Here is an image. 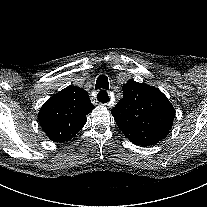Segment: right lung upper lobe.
<instances>
[{
    "mask_svg": "<svg viewBox=\"0 0 207 207\" xmlns=\"http://www.w3.org/2000/svg\"><path fill=\"white\" fill-rule=\"evenodd\" d=\"M93 108L85 90L75 86L66 87L45 102L38 120L51 140L67 142L83 128L86 115Z\"/></svg>",
    "mask_w": 207,
    "mask_h": 207,
    "instance_id": "cb5924a9",
    "label": "right lung upper lobe"
}]
</instances>
